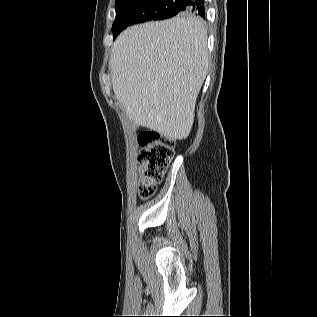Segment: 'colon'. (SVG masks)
Masks as SVG:
<instances>
[{"label":"colon","instance_id":"obj_1","mask_svg":"<svg viewBox=\"0 0 317 317\" xmlns=\"http://www.w3.org/2000/svg\"><path fill=\"white\" fill-rule=\"evenodd\" d=\"M138 142L142 148L138 194L147 199L155 193L157 184L166 173L174 156L175 141L157 131L145 130L139 134Z\"/></svg>","mask_w":317,"mask_h":317}]
</instances>
